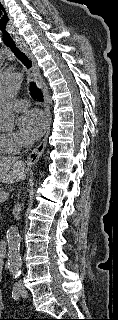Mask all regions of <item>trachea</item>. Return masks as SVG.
<instances>
[{"label": "trachea", "instance_id": "obj_1", "mask_svg": "<svg viewBox=\"0 0 118 320\" xmlns=\"http://www.w3.org/2000/svg\"><path fill=\"white\" fill-rule=\"evenodd\" d=\"M8 47L27 68L32 66L31 60L25 55V53L20 51L16 45H8ZM29 90L33 98L37 99L38 101H43V93L36 87L34 83L30 84Z\"/></svg>", "mask_w": 118, "mask_h": 320}]
</instances>
